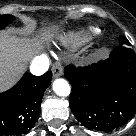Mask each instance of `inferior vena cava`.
<instances>
[{"label": "inferior vena cava", "mask_w": 136, "mask_h": 136, "mask_svg": "<svg viewBox=\"0 0 136 136\" xmlns=\"http://www.w3.org/2000/svg\"><path fill=\"white\" fill-rule=\"evenodd\" d=\"M49 68V59L46 55L35 56L30 65L33 75H43Z\"/></svg>", "instance_id": "obj_1"}]
</instances>
